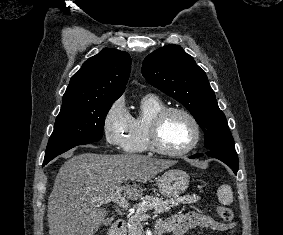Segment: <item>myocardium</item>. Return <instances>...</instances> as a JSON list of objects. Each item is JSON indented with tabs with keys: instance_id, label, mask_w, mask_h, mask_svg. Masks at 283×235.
<instances>
[{
	"instance_id": "f54148a6",
	"label": "myocardium",
	"mask_w": 283,
	"mask_h": 235,
	"mask_svg": "<svg viewBox=\"0 0 283 235\" xmlns=\"http://www.w3.org/2000/svg\"><path fill=\"white\" fill-rule=\"evenodd\" d=\"M172 113H180L184 115L190 121L193 127V138L191 142L185 148L177 151L167 150L163 148L159 142V130L161 124ZM200 138H201V128L196 117L187 109L176 106L166 107L161 111H159L151 120L147 133L149 149L156 154L162 156H169V157H178L190 153L192 150H194L197 147Z\"/></svg>"
}]
</instances>
